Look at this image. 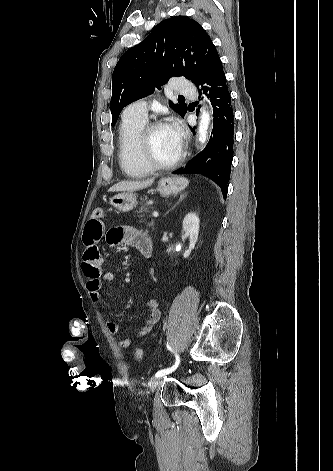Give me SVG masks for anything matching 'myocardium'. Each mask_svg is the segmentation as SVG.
Returning a JSON list of instances; mask_svg holds the SVG:
<instances>
[{"label":"myocardium","instance_id":"obj_1","mask_svg":"<svg viewBox=\"0 0 333 471\" xmlns=\"http://www.w3.org/2000/svg\"><path fill=\"white\" fill-rule=\"evenodd\" d=\"M165 126L162 122H153L146 125L139 136V149L145 162L154 170H169L175 168L184 157V150L180 148L176 157L170 162H161L156 159L149 147V135L154 130Z\"/></svg>","mask_w":333,"mask_h":471}]
</instances>
